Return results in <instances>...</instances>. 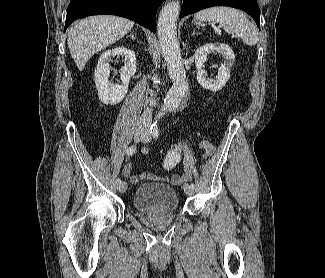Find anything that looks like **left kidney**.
Here are the masks:
<instances>
[{
	"label": "left kidney",
	"instance_id": "left-kidney-1",
	"mask_svg": "<svg viewBox=\"0 0 325 278\" xmlns=\"http://www.w3.org/2000/svg\"><path fill=\"white\" fill-rule=\"evenodd\" d=\"M210 53H218L224 57V64L219 67L215 80L207 79L203 69L204 62ZM194 59L198 83L205 89L217 92L226 85L230 78V68L235 62V54L226 44H206L195 51Z\"/></svg>",
	"mask_w": 325,
	"mask_h": 278
}]
</instances>
